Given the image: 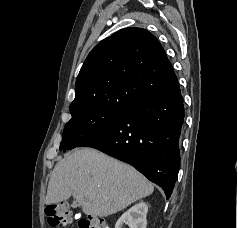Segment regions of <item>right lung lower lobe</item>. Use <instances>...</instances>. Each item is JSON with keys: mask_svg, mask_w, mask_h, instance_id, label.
<instances>
[{"mask_svg": "<svg viewBox=\"0 0 238 228\" xmlns=\"http://www.w3.org/2000/svg\"><path fill=\"white\" fill-rule=\"evenodd\" d=\"M183 123L184 104L177 82L133 102L116 121L78 147H92L131 164L162 187L168 199L180 166Z\"/></svg>", "mask_w": 238, "mask_h": 228, "instance_id": "right-lung-lower-lobe-1", "label": "right lung lower lobe"}]
</instances>
